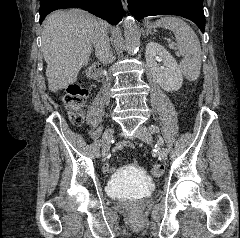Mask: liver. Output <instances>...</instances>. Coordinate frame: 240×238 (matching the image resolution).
<instances>
[{"label":"liver","mask_w":240,"mask_h":238,"mask_svg":"<svg viewBox=\"0 0 240 238\" xmlns=\"http://www.w3.org/2000/svg\"><path fill=\"white\" fill-rule=\"evenodd\" d=\"M100 25L106 23L80 9L56 11L47 17L42 30V51L49 90L56 92L76 82L91 55V35Z\"/></svg>","instance_id":"obj_1"}]
</instances>
